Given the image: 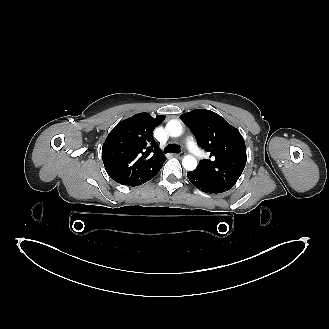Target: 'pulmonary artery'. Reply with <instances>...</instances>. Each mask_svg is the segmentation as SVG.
I'll use <instances>...</instances> for the list:
<instances>
[{
  "label": "pulmonary artery",
  "instance_id": "e3ab8cb5",
  "mask_svg": "<svg viewBox=\"0 0 329 329\" xmlns=\"http://www.w3.org/2000/svg\"><path fill=\"white\" fill-rule=\"evenodd\" d=\"M187 147L189 151L197 158L202 157V151L198 148L197 144L195 143L193 137L189 136L186 140Z\"/></svg>",
  "mask_w": 329,
  "mask_h": 329
}]
</instances>
